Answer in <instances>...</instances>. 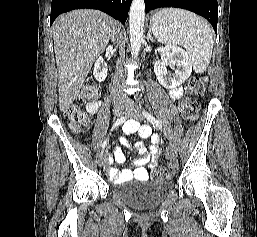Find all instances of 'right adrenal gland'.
I'll use <instances>...</instances> for the list:
<instances>
[{
	"label": "right adrenal gland",
	"mask_w": 257,
	"mask_h": 237,
	"mask_svg": "<svg viewBox=\"0 0 257 237\" xmlns=\"http://www.w3.org/2000/svg\"><path fill=\"white\" fill-rule=\"evenodd\" d=\"M111 42L115 43L116 42V32H114L112 38H111Z\"/></svg>",
	"instance_id": "2a0ac1e0"
}]
</instances>
